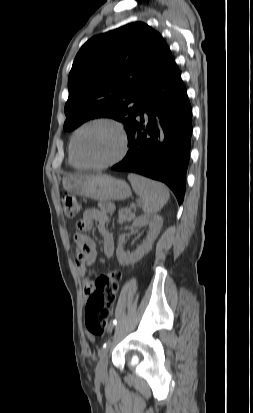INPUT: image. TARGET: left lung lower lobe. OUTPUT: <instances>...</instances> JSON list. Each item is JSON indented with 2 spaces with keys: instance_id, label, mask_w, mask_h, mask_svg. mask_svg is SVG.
Returning a JSON list of instances; mask_svg holds the SVG:
<instances>
[{
  "instance_id": "1",
  "label": "left lung lower lobe",
  "mask_w": 253,
  "mask_h": 413,
  "mask_svg": "<svg viewBox=\"0 0 253 413\" xmlns=\"http://www.w3.org/2000/svg\"><path fill=\"white\" fill-rule=\"evenodd\" d=\"M127 135L129 150L112 170L162 181L181 204L190 156L192 109L174 59L147 92Z\"/></svg>"
}]
</instances>
